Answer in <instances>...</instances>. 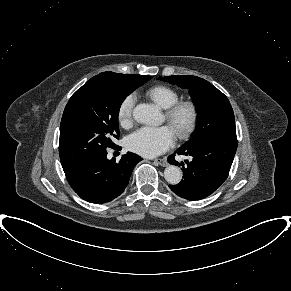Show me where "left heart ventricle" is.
Returning <instances> with one entry per match:
<instances>
[{
  "instance_id": "obj_1",
  "label": "left heart ventricle",
  "mask_w": 291,
  "mask_h": 291,
  "mask_svg": "<svg viewBox=\"0 0 291 291\" xmlns=\"http://www.w3.org/2000/svg\"><path fill=\"white\" fill-rule=\"evenodd\" d=\"M185 120H186V116L183 115V116L181 117L180 121H179V125L184 124ZM171 128H172V130L175 132L176 129H175L174 127H171Z\"/></svg>"
}]
</instances>
